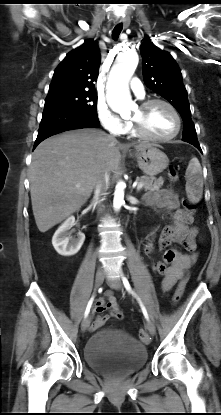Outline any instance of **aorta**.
<instances>
[{"label": "aorta", "mask_w": 221, "mask_h": 415, "mask_svg": "<svg viewBox=\"0 0 221 415\" xmlns=\"http://www.w3.org/2000/svg\"><path fill=\"white\" fill-rule=\"evenodd\" d=\"M138 61L139 58L136 51H127L117 56L111 68L107 102L115 112L122 113L129 110L132 106L129 80L138 65ZM124 188L125 184L123 182L117 183L113 200V206L116 211L120 210L123 204Z\"/></svg>", "instance_id": "obj_1"}]
</instances>
